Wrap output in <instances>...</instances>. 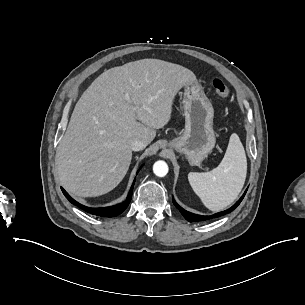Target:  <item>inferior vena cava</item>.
<instances>
[{"mask_svg":"<svg viewBox=\"0 0 305 305\" xmlns=\"http://www.w3.org/2000/svg\"><path fill=\"white\" fill-rule=\"evenodd\" d=\"M146 145L147 144L144 141L135 139L131 142L130 147L134 151H139V150L144 149L146 147Z\"/></svg>","mask_w":305,"mask_h":305,"instance_id":"602c4592","label":"inferior vena cava"}]
</instances>
